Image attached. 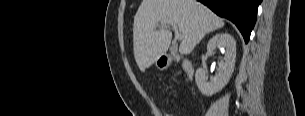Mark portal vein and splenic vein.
<instances>
[{
    "mask_svg": "<svg viewBox=\"0 0 305 116\" xmlns=\"http://www.w3.org/2000/svg\"><path fill=\"white\" fill-rule=\"evenodd\" d=\"M161 25L163 26H166V25H171L175 31V36H176V39L178 40H181L182 39V35L178 32V29H177V25L176 23H173V22H169V21H161L160 22Z\"/></svg>",
    "mask_w": 305,
    "mask_h": 116,
    "instance_id": "18ae733b",
    "label": "portal vein and splenic vein"
}]
</instances>
